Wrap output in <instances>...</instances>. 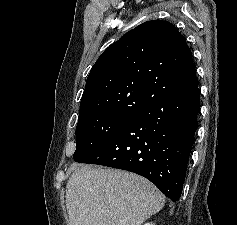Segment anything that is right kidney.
Instances as JSON below:
<instances>
[{"instance_id": "ca27d5eb", "label": "right kidney", "mask_w": 237, "mask_h": 225, "mask_svg": "<svg viewBox=\"0 0 237 225\" xmlns=\"http://www.w3.org/2000/svg\"><path fill=\"white\" fill-rule=\"evenodd\" d=\"M144 225H155V224L148 222V223H145Z\"/></svg>"}]
</instances>
